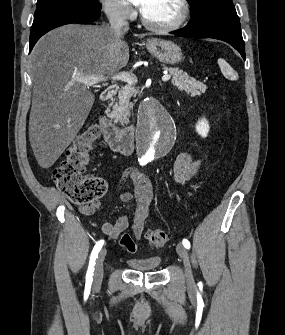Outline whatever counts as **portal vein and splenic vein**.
Returning a JSON list of instances; mask_svg holds the SVG:
<instances>
[{
	"instance_id": "1",
	"label": "portal vein and splenic vein",
	"mask_w": 285,
	"mask_h": 335,
	"mask_svg": "<svg viewBox=\"0 0 285 335\" xmlns=\"http://www.w3.org/2000/svg\"><path fill=\"white\" fill-rule=\"evenodd\" d=\"M164 76H162L163 82H167L170 80L171 76L168 72H163ZM77 82H83V84H90V86H94V84H99V82H107L108 78L106 76H80V78H76ZM110 80H120V82H127V84H135L136 78L131 76V74H117V76H112Z\"/></svg>"
}]
</instances>
